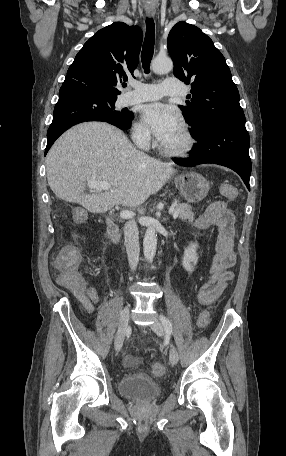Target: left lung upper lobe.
I'll use <instances>...</instances> for the list:
<instances>
[{
	"instance_id": "left-lung-upper-lobe-1",
	"label": "left lung upper lobe",
	"mask_w": 286,
	"mask_h": 456,
	"mask_svg": "<svg viewBox=\"0 0 286 456\" xmlns=\"http://www.w3.org/2000/svg\"><path fill=\"white\" fill-rule=\"evenodd\" d=\"M167 48L174 63V75L191 85V102L179 106L191 133L214 122L245 126L239 92L222 53L199 28L176 23L168 35Z\"/></svg>"
}]
</instances>
